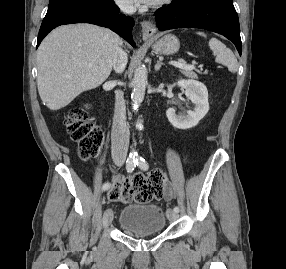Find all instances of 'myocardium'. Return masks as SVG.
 <instances>
[{
    "label": "myocardium",
    "mask_w": 286,
    "mask_h": 269,
    "mask_svg": "<svg viewBox=\"0 0 286 269\" xmlns=\"http://www.w3.org/2000/svg\"><path fill=\"white\" fill-rule=\"evenodd\" d=\"M172 0H157L155 3H154V6L155 7H162V6H165L167 4H169Z\"/></svg>",
    "instance_id": "myocardium-1"
}]
</instances>
